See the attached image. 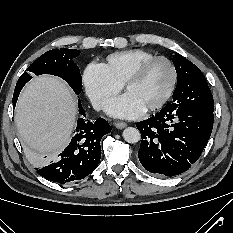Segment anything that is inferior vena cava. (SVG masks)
<instances>
[{"mask_svg": "<svg viewBox=\"0 0 233 233\" xmlns=\"http://www.w3.org/2000/svg\"><path fill=\"white\" fill-rule=\"evenodd\" d=\"M94 108L96 110H99L101 108V104L100 103H95Z\"/></svg>", "mask_w": 233, "mask_h": 233, "instance_id": "inferior-vena-cava-1", "label": "inferior vena cava"}]
</instances>
